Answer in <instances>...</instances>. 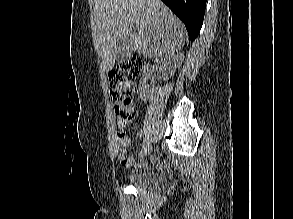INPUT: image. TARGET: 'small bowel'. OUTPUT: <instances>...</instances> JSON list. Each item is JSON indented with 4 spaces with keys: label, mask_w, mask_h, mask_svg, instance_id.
Returning <instances> with one entry per match:
<instances>
[{
    "label": "small bowel",
    "mask_w": 293,
    "mask_h": 219,
    "mask_svg": "<svg viewBox=\"0 0 293 219\" xmlns=\"http://www.w3.org/2000/svg\"><path fill=\"white\" fill-rule=\"evenodd\" d=\"M117 142L119 147L118 159L123 166H130L133 164V157L126 154L125 148L129 144V138L124 131L117 132Z\"/></svg>",
    "instance_id": "small-bowel-1"
}]
</instances>
